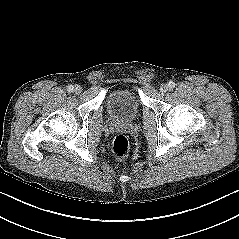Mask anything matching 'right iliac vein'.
Here are the masks:
<instances>
[{"instance_id": "63e3f726", "label": "right iliac vein", "mask_w": 239, "mask_h": 239, "mask_svg": "<svg viewBox=\"0 0 239 239\" xmlns=\"http://www.w3.org/2000/svg\"><path fill=\"white\" fill-rule=\"evenodd\" d=\"M74 92H75L76 94H80V93L82 92V87L79 86V85H76V86L74 87Z\"/></svg>"}]
</instances>
